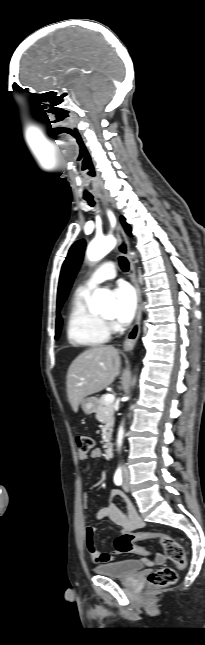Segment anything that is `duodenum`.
Wrapping results in <instances>:
<instances>
[{
    "mask_svg": "<svg viewBox=\"0 0 205 645\" xmlns=\"http://www.w3.org/2000/svg\"><path fill=\"white\" fill-rule=\"evenodd\" d=\"M104 453L107 457L113 456V444L111 441H107L104 444Z\"/></svg>",
    "mask_w": 205,
    "mask_h": 645,
    "instance_id": "duodenum-1",
    "label": "duodenum"
}]
</instances>
